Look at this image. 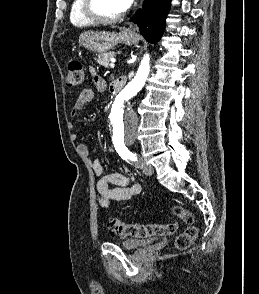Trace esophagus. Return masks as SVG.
<instances>
[{
	"instance_id": "esophagus-1",
	"label": "esophagus",
	"mask_w": 259,
	"mask_h": 294,
	"mask_svg": "<svg viewBox=\"0 0 259 294\" xmlns=\"http://www.w3.org/2000/svg\"><path fill=\"white\" fill-rule=\"evenodd\" d=\"M137 30H138L137 26H133V27L128 28V29L126 30V32H127L128 34H130V35H135L136 32H137Z\"/></svg>"
}]
</instances>
